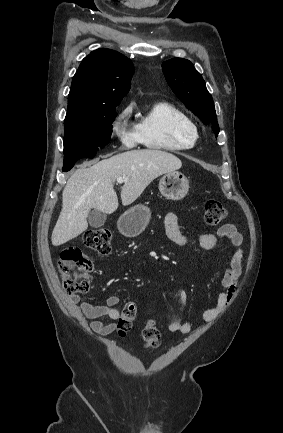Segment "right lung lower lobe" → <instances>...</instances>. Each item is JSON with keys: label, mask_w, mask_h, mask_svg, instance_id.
<instances>
[{"label": "right lung lower lobe", "mask_w": 283, "mask_h": 433, "mask_svg": "<svg viewBox=\"0 0 283 433\" xmlns=\"http://www.w3.org/2000/svg\"><path fill=\"white\" fill-rule=\"evenodd\" d=\"M94 156L95 154H83V153L64 156L63 171L65 172L69 171L74 166L75 162L81 158L84 157L93 158Z\"/></svg>", "instance_id": "obj_1"}]
</instances>
